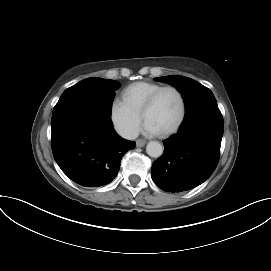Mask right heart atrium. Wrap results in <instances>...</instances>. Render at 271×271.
<instances>
[{
	"label": "right heart atrium",
	"mask_w": 271,
	"mask_h": 271,
	"mask_svg": "<svg viewBox=\"0 0 271 271\" xmlns=\"http://www.w3.org/2000/svg\"><path fill=\"white\" fill-rule=\"evenodd\" d=\"M109 119L114 130L123 138H133L139 130L142 117L123 100L114 99L109 107Z\"/></svg>",
	"instance_id": "right-heart-atrium-1"
}]
</instances>
